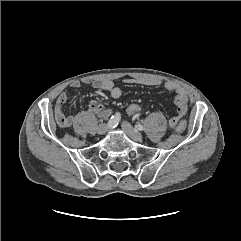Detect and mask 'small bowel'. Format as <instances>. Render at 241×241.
I'll return each instance as SVG.
<instances>
[{"instance_id":"1","label":"small bowel","mask_w":241,"mask_h":241,"mask_svg":"<svg viewBox=\"0 0 241 241\" xmlns=\"http://www.w3.org/2000/svg\"><path fill=\"white\" fill-rule=\"evenodd\" d=\"M124 82L127 84H142L148 86H158L161 84V82L156 79L127 78ZM84 83L91 84L92 87L98 91L108 92L114 99H118L122 95L121 88L116 86L111 80L97 79L91 81L86 79ZM81 84V81L76 80L73 81L70 86L72 88H79ZM165 88L169 92L175 94L176 113L169 121L170 126L175 128L176 124L183 119L188 111V96L186 91L174 81H167L165 83ZM67 99L68 96L65 92L60 93L55 107L56 121L58 125L63 128L70 127L74 122V117L65 114L63 110ZM88 109L90 112L96 113L102 118H106L110 114V110L98 100H91Z\"/></svg>"}]
</instances>
